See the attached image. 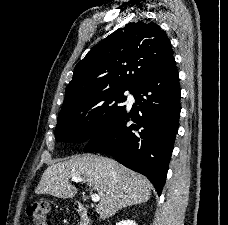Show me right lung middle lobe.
Returning <instances> with one entry per match:
<instances>
[{"mask_svg":"<svg viewBox=\"0 0 228 225\" xmlns=\"http://www.w3.org/2000/svg\"><path fill=\"white\" fill-rule=\"evenodd\" d=\"M112 87L62 106L55 129L57 141L85 142L108 125L124 108V92Z\"/></svg>","mask_w":228,"mask_h":225,"instance_id":"obj_1","label":"right lung middle lobe"}]
</instances>
